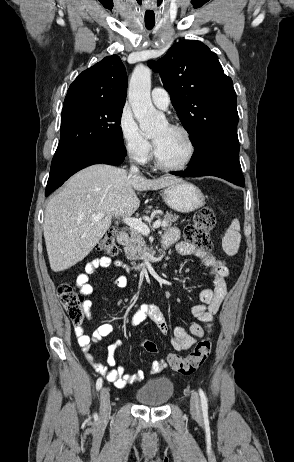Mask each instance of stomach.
<instances>
[{
  "label": "stomach",
  "instance_id": "obj_1",
  "mask_svg": "<svg viewBox=\"0 0 294 462\" xmlns=\"http://www.w3.org/2000/svg\"><path fill=\"white\" fill-rule=\"evenodd\" d=\"M161 195L171 209L181 213L192 212L205 204V197L201 190L182 180L167 186Z\"/></svg>",
  "mask_w": 294,
  "mask_h": 462
}]
</instances>
